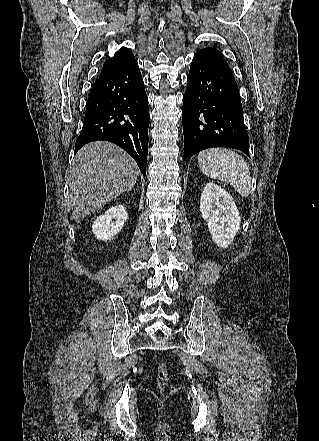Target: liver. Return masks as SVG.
I'll return each instance as SVG.
<instances>
[{"label": "liver", "mask_w": 319, "mask_h": 441, "mask_svg": "<svg viewBox=\"0 0 319 441\" xmlns=\"http://www.w3.org/2000/svg\"><path fill=\"white\" fill-rule=\"evenodd\" d=\"M138 174L135 161L116 145L104 141L85 145L68 171V203L74 221L80 223L120 194L130 191Z\"/></svg>", "instance_id": "1"}]
</instances>
